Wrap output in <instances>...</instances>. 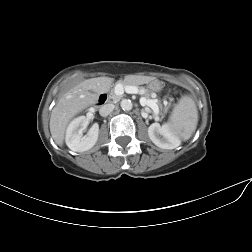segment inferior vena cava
Returning <instances> with one entry per match:
<instances>
[{
    "label": "inferior vena cava",
    "instance_id": "obj_1",
    "mask_svg": "<svg viewBox=\"0 0 252 252\" xmlns=\"http://www.w3.org/2000/svg\"><path fill=\"white\" fill-rule=\"evenodd\" d=\"M114 108H115L114 104H105V105L100 107L99 114L102 117H106L114 110Z\"/></svg>",
    "mask_w": 252,
    "mask_h": 252
}]
</instances>
